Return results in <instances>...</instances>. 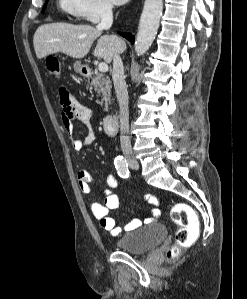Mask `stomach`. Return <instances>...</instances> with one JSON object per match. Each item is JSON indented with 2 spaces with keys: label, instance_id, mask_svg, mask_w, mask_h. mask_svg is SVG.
Returning a JSON list of instances; mask_svg holds the SVG:
<instances>
[{
  "label": "stomach",
  "instance_id": "stomach-1",
  "mask_svg": "<svg viewBox=\"0 0 247 299\" xmlns=\"http://www.w3.org/2000/svg\"><path fill=\"white\" fill-rule=\"evenodd\" d=\"M74 70L76 73H79L80 75H82L84 77L87 76L88 71H89L88 67L86 65L81 64L80 61H76L74 63Z\"/></svg>",
  "mask_w": 247,
  "mask_h": 299
}]
</instances>
